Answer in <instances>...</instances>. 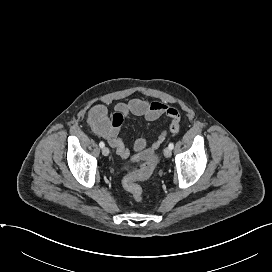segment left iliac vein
Here are the masks:
<instances>
[{
  "mask_svg": "<svg viewBox=\"0 0 272 272\" xmlns=\"http://www.w3.org/2000/svg\"><path fill=\"white\" fill-rule=\"evenodd\" d=\"M171 154H172V152H171V149L169 147L164 149V156L166 158H169L171 156Z\"/></svg>",
  "mask_w": 272,
  "mask_h": 272,
  "instance_id": "4c4485c4",
  "label": "left iliac vein"
}]
</instances>
